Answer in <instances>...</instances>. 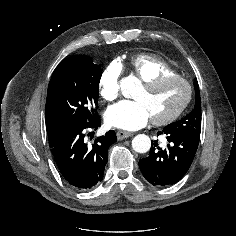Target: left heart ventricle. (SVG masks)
<instances>
[{"instance_id": "b2bd125f", "label": "left heart ventricle", "mask_w": 236, "mask_h": 236, "mask_svg": "<svg viewBox=\"0 0 236 236\" xmlns=\"http://www.w3.org/2000/svg\"><path fill=\"white\" fill-rule=\"evenodd\" d=\"M186 93V86L181 81L171 80L152 90L141 87L135 99L145 104L151 118H160L177 109L183 103Z\"/></svg>"}]
</instances>
